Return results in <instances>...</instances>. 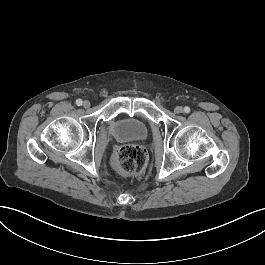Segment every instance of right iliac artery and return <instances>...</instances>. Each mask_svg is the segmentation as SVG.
I'll return each mask as SVG.
<instances>
[{
    "label": "right iliac artery",
    "mask_w": 265,
    "mask_h": 265,
    "mask_svg": "<svg viewBox=\"0 0 265 265\" xmlns=\"http://www.w3.org/2000/svg\"><path fill=\"white\" fill-rule=\"evenodd\" d=\"M76 104H77L78 106H81V105H82V100H81V99H77V100H76Z\"/></svg>",
    "instance_id": "obj_1"
}]
</instances>
